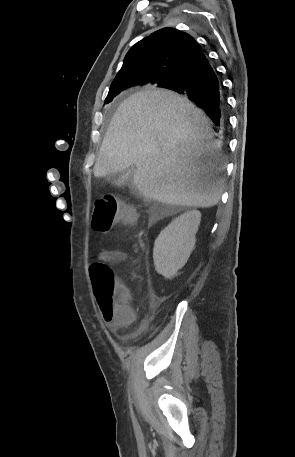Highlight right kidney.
<instances>
[{"label": "right kidney", "mask_w": 295, "mask_h": 457, "mask_svg": "<svg viewBox=\"0 0 295 457\" xmlns=\"http://www.w3.org/2000/svg\"><path fill=\"white\" fill-rule=\"evenodd\" d=\"M200 220L201 213L191 210L161 231L153 249L155 269L159 274L171 278L186 264L196 243L195 234Z\"/></svg>", "instance_id": "right-kidney-1"}]
</instances>
